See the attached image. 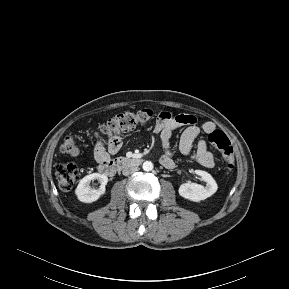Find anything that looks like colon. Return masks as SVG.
Here are the masks:
<instances>
[{"mask_svg": "<svg viewBox=\"0 0 289 289\" xmlns=\"http://www.w3.org/2000/svg\"><path fill=\"white\" fill-rule=\"evenodd\" d=\"M154 117L155 112L149 109L120 113L103 123L99 127L96 136L100 142H104L105 138L130 131L137 126L148 123ZM208 139L211 145L222 153L227 169L232 170L234 168V157L228 137L222 131L215 130L208 135ZM60 151L71 157L78 156L80 148L76 138L73 135L66 136L60 145ZM56 177L60 188L64 191H70L78 180L79 171L73 163L60 164L56 168Z\"/></svg>", "mask_w": 289, "mask_h": 289, "instance_id": "colon-1", "label": "colon"}]
</instances>
